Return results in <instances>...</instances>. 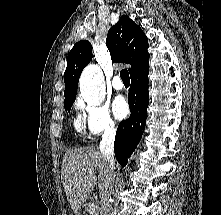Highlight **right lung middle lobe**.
<instances>
[{
    "instance_id": "1",
    "label": "right lung middle lobe",
    "mask_w": 221,
    "mask_h": 215,
    "mask_svg": "<svg viewBox=\"0 0 221 215\" xmlns=\"http://www.w3.org/2000/svg\"><path fill=\"white\" fill-rule=\"evenodd\" d=\"M74 100L65 102L64 108L66 111L70 112L71 106L73 105Z\"/></svg>"
}]
</instances>
